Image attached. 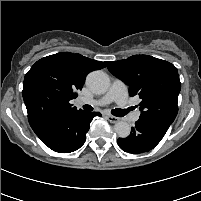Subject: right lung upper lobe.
I'll list each match as a JSON object with an SVG mask.
<instances>
[{
    "label": "right lung upper lobe",
    "instance_id": "cb5924a9",
    "mask_svg": "<svg viewBox=\"0 0 201 201\" xmlns=\"http://www.w3.org/2000/svg\"><path fill=\"white\" fill-rule=\"evenodd\" d=\"M105 64L80 54L61 52L37 61L25 75L23 99L28 118L52 113L72 115L77 110L70 100L77 97L88 73L104 68Z\"/></svg>",
    "mask_w": 201,
    "mask_h": 201
}]
</instances>
